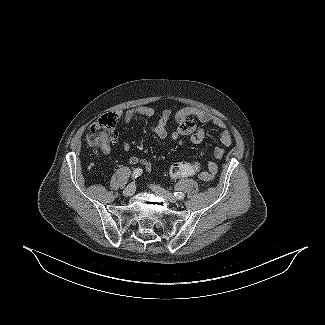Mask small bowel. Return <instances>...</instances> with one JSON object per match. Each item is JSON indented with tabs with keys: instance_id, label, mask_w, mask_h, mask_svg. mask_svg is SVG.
<instances>
[{
	"instance_id": "c3829d8e",
	"label": "small bowel",
	"mask_w": 325,
	"mask_h": 325,
	"mask_svg": "<svg viewBox=\"0 0 325 325\" xmlns=\"http://www.w3.org/2000/svg\"><path fill=\"white\" fill-rule=\"evenodd\" d=\"M119 117H122L124 123L129 124L136 117H147V118H156L157 123L152 128V132L160 139H165L168 136L167 123L171 117V112L169 110H163L157 113L154 109L150 107H135L127 110L124 113L119 112ZM175 120L177 123L176 130L171 133L170 137L172 140H176L179 137H187L189 141L193 144H200L205 138V131L201 128L197 121L201 123H212L218 128L222 129L220 134L221 143L228 147L232 144V135L227 129L226 124L216 118H213L206 111L195 108V107H183L179 109L175 114ZM122 147L125 151L131 149V145L128 142H123ZM103 153H109V147L103 149ZM225 154V149L223 147H216L214 149V157L216 159H221ZM131 164H140L143 165L146 171L151 170V164L142 158L132 156L129 159ZM198 165V163H195ZM218 170V165L216 161H210L207 165V169L199 170L194 174L202 181H210L214 178Z\"/></svg>"
}]
</instances>
